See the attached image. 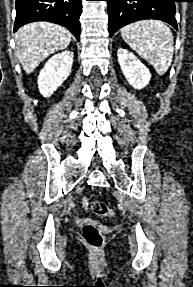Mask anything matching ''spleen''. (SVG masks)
Instances as JSON below:
<instances>
[{"instance_id":"obj_1","label":"spleen","mask_w":193,"mask_h":287,"mask_svg":"<svg viewBox=\"0 0 193 287\" xmlns=\"http://www.w3.org/2000/svg\"><path fill=\"white\" fill-rule=\"evenodd\" d=\"M124 41L159 75L169 69L174 52V38L169 27L159 20H143L121 29Z\"/></svg>"}]
</instances>
